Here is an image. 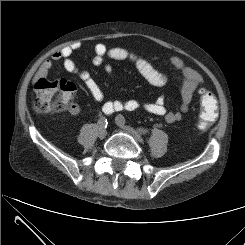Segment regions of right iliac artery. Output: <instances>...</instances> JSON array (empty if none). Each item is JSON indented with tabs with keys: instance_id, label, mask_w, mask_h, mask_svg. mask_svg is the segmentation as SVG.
I'll return each mask as SVG.
<instances>
[{
	"instance_id": "1",
	"label": "right iliac artery",
	"mask_w": 245,
	"mask_h": 245,
	"mask_svg": "<svg viewBox=\"0 0 245 245\" xmlns=\"http://www.w3.org/2000/svg\"><path fill=\"white\" fill-rule=\"evenodd\" d=\"M103 112L105 113V114H108V113H106L104 110H103ZM98 123H99V125H101V126H104L105 128L107 127V119L105 118V117H101L100 119H99V121H98Z\"/></svg>"
}]
</instances>
